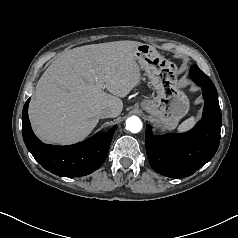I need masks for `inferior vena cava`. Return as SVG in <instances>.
<instances>
[{
  "label": "inferior vena cava",
  "mask_w": 238,
  "mask_h": 238,
  "mask_svg": "<svg viewBox=\"0 0 238 238\" xmlns=\"http://www.w3.org/2000/svg\"><path fill=\"white\" fill-rule=\"evenodd\" d=\"M113 111L110 108H102L98 111V115L100 118H108L112 117Z\"/></svg>",
  "instance_id": "602c4592"
}]
</instances>
